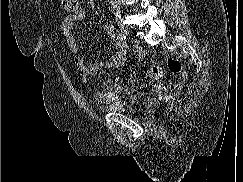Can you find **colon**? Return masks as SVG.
<instances>
[{"mask_svg":"<svg viewBox=\"0 0 243 182\" xmlns=\"http://www.w3.org/2000/svg\"><path fill=\"white\" fill-rule=\"evenodd\" d=\"M61 4L64 11L74 13L78 10L79 2L78 0H62ZM167 66L171 72L182 73L184 76L183 67L179 60L171 57L167 60ZM163 72L164 70L161 66L152 65L148 68L147 75L151 78L158 79L162 77Z\"/></svg>","mask_w":243,"mask_h":182,"instance_id":"obj_1","label":"colon"}]
</instances>
